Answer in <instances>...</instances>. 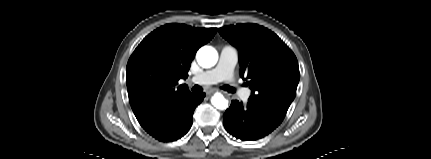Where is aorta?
<instances>
[{
	"label": "aorta",
	"mask_w": 431,
	"mask_h": 159,
	"mask_svg": "<svg viewBox=\"0 0 431 159\" xmlns=\"http://www.w3.org/2000/svg\"><path fill=\"white\" fill-rule=\"evenodd\" d=\"M196 59L200 66L210 68L217 63L218 53L211 46H203L198 50ZM211 103L219 110H225L228 107V100L221 93H215L211 98Z\"/></svg>",
	"instance_id": "obj_1"
}]
</instances>
